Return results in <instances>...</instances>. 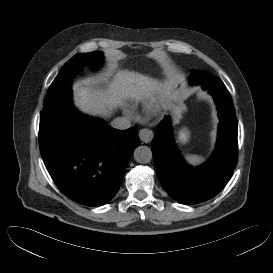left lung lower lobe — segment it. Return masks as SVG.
I'll use <instances>...</instances> for the list:
<instances>
[{
	"label": "left lung lower lobe",
	"instance_id": "1",
	"mask_svg": "<svg viewBox=\"0 0 273 273\" xmlns=\"http://www.w3.org/2000/svg\"><path fill=\"white\" fill-rule=\"evenodd\" d=\"M197 74L195 85L213 96L220 119L213 155L197 168L187 165L176 147L168 118L156 127L151 142L161 185L173 199L186 205L205 202L222 191L238 160V124L231 96L220 78L201 71Z\"/></svg>",
	"mask_w": 273,
	"mask_h": 273
}]
</instances>
